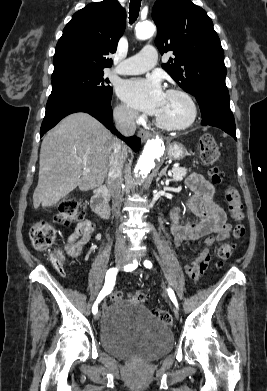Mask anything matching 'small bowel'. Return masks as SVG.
<instances>
[{
  "instance_id": "small-bowel-1",
  "label": "small bowel",
  "mask_w": 267,
  "mask_h": 391,
  "mask_svg": "<svg viewBox=\"0 0 267 391\" xmlns=\"http://www.w3.org/2000/svg\"><path fill=\"white\" fill-rule=\"evenodd\" d=\"M186 184L193 195L186 201L185 208L198 216L199 220L179 224L178 209H176L172 213L171 235L174 248L180 247L187 241L206 237L205 247L199 256L185 265L189 279L197 282L210 262L212 247L229 237L231 225L227 223L226 214L215 199V189L207 179L192 173L187 178ZM94 228L91 221H80L67 237L64 252L70 257L78 258L89 242Z\"/></svg>"
}]
</instances>
